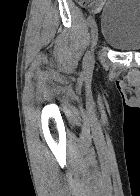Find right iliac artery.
Segmentation results:
<instances>
[{"label":"right iliac artery","instance_id":"right-iliac-artery-1","mask_svg":"<svg viewBox=\"0 0 140 196\" xmlns=\"http://www.w3.org/2000/svg\"><path fill=\"white\" fill-rule=\"evenodd\" d=\"M92 22H93V18H92V16H89L88 17V24H89V26L91 25Z\"/></svg>","mask_w":140,"mask_h":196}]
</instances>
